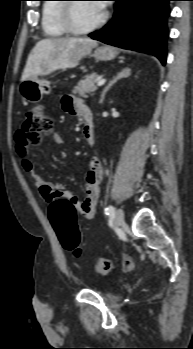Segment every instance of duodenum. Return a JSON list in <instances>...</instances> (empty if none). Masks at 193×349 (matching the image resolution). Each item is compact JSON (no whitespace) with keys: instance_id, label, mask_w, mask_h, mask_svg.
<instances>
[{"instance_id":"1","label":"duodenum","mask_w":193,"mask_h":349,"mask_svg":"<svg viewBox=\"0 0 193 349\" xmlns=\"http://www.w3.org/2000/svg\"><path fill=\"white\" fill-rule=\"evenodd\" d=\"M84 115H85V119H86L87 125L92 126V117H91L90 111H89V110H86L85 113H84Z\"/></svg>"}]
</instances>
